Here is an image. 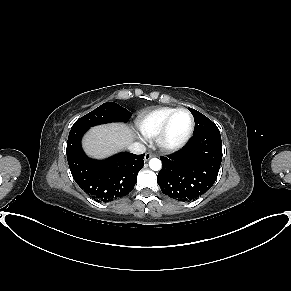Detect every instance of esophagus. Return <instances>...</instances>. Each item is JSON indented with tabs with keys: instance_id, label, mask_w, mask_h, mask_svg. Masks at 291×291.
Listing matches in <instances>:
<instances>
[{
	"instance_id": "obj_1",
	"label": "esophagus",
	"mask_w": 291,
	"mask_h": 291,
	"mask_svg": "<svg viewBox=\"0 0 291 291\" xmlns=\"http://www.w3.org/2000/svg\"><path fill=\"white\" fill-rule=\"evenodd\" d=\"M153 157V154L151 153V152H147L146 154H145V156H144V160L145 161H148L150 158H152Z\"/></svg>"
}]
</instances>
